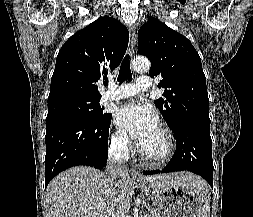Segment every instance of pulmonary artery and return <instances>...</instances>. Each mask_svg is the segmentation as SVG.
<instances>
[{"mask_svg":"<svg viewBox=\"0 0 253 217\" xmlns=\"http://www.w3.org/2000/svg\"><path fill=\"white\" fill-rule=\"evenodd\" d=\"M152 86L151 78L148 76H140L136 83H128L115 85L111 83L109 89L103 93L102 99L105 101L119 100L136 95L139 92L146 91Z\"/></svg>","mask_w":253,"mask_h":217,"instance_id":"1","label":"pulmonary artery"}]
</instances>
